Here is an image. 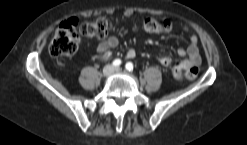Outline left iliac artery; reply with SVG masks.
Listing matches in <instances>:
<instances>
[{
    "instance_id": "1",
    "label": "left iliac artery",
    "mask_w": 247,
    "mask_h": 145,
    "mask_svg": "<svg viewBox=\"0 0 247 145\" xmlns=\"http://www.w3.org/2000/svg\"><path fill=\"white\" fill-rule=\"evenodd\" d=\"M125 68L128 71H132L133 70V64L131 62L126 63Z\"/></svg>"
}]
</instances>
